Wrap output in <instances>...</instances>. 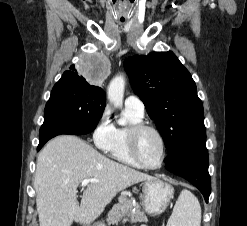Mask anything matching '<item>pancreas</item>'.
Here are the masks:
<instances>
[{"label":"pancreas","mask_w":247,"mask_h":226,"mask_svg":"<svg viewBox=\"0 0 247 226\" xmlns=\"http://www.w3.org/2000/svg\"><path fill=\"white\" fill-rule=\"evenodd\" d=\"M106 221L108 225L117 224L120 221H122V223L127 221L135 223L138 221L145 222L147 221V217L144 212L140 210L139 204L133 202V199L120 197L118 203L108 212Z\"/></svg>","instance_id":"cf45deb5"}]
</instances>
